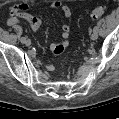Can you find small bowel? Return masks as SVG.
<instances>
[{
	"mask_svg": "<svg viewBox=\"0 0 119 119\" xmlns=\"http://www.w3.org/2000/svg\"><path fill=\"white\" fill-rule=\"evenodd\" d=\"M50 7L52 9L60 10L64 16L67 18V21L63 23L62 25V41L53 43L50 46L51 51L59 55L61 54L65 47L68 45L67 39L69 38V34L72 28V11L71 9L63 4L60 1H55L50 4ZM30 9V5L26 3H22L19 5H16L11 8L10 10V18L8 19L9 25H15L20 23L21 21H25L29 24L30 28L34 32H38L41 28V20L31 14L28 13V10ZM48 70L54 71V65L52 63L48 64Z\"/></svg>",
	"mask_w": 119,
	"mask_h": 119,
	"instance_id": "c3829d8e",
	"label": "small bowel"
}]
</instances>
